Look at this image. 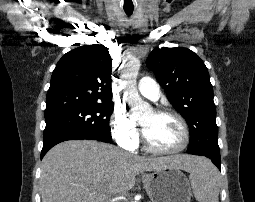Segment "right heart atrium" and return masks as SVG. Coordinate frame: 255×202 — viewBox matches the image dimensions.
<instances>
[{"label":"right heart atrium","mask_w":255,"mask_h":202,"mask_svg":"<svg viewBox=\"0 0 255 202\" xmlns=\"http://www.w3.org/2000/svg\"><path fill=\"white\" fill-rule=\"evenodd\" d=\"M110 132L114 141L122 148L132 151L139 142L137 124L123 108H115L110 118Z\"/></svg>","instance_id":"d8ad5b80"}]
</instances>
